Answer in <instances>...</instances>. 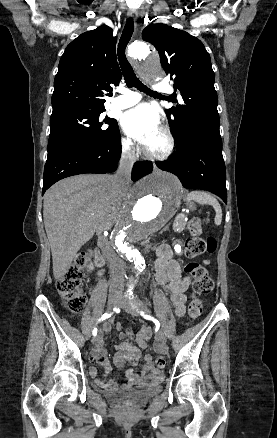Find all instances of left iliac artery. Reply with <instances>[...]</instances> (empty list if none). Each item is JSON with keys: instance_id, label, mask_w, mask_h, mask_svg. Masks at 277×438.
I'll list each match as a JSON object with an SVG mask.
<instances>
[{"instance_id": "44dca946", "label": "left iliac artery", "mask_w": 277, "mask_h": 438, "mask_svg": "<svg viewBox=\"0 0 277 438\" xmlns=\"http://www.w3.org/2000/svg\"><path fill=\"white\" fill-rule=\"evenodd\" d=\"M144 318L149 319L151 316L145 315L143 312L140 313Z\"/></svg>"}]
</instances>
